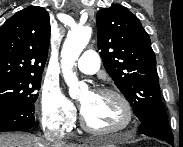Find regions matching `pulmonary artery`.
I'll list each match as a JSON object with an SVG mask.
<instances>
[{"mask_svg":"<svg viewBox=\"0 0 183 147\" xmlns=\"http://www.w3.org/2000/svg\"><path fill=\"white\" fill-rule=\"evenodd\" d=\"M76 66L85 74H94L100 68V57L94 50H86L77 61Z\"/></svg>","mask_w":183,"mask_h":147,"instance_id":"e3ab8cb5","label":"pulmonary artery"}]
</instances>
